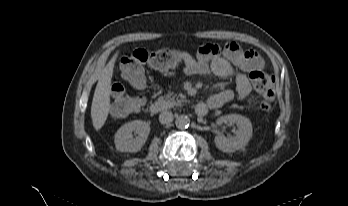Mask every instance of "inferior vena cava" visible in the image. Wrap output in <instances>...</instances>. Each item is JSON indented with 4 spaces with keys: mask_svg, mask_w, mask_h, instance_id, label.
Here are the masks:
<instances>
[{
    "mask_svg": "<svg viewBox=\"0 0 348 206\" xmlns=\"http://www.w3.org/2000/svg\"><path fill=\"white\" fill-rule=\"evenodd\" d=\"M174 116L170 111H162L159 115V121L161 124H169L173 121Z\"/></svg>",
    "mask_w": 348,
    "mask_h": 206,
    "instance_id": "602c4592",
    "label": "inferior vena cava"
}]
</instances>
